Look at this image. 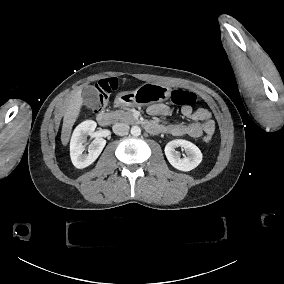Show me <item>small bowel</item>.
I'll use <instances>...</instances> for the list:
<instances>
[{"instance_id": "small-bowel-1", "label": "small bowel", "mask_w": 284, "mask_h": 284, "mask_svg": "<svg viewBox=\"0 0 284 284\" xmlns=\"http://www.w3.org/2000/svg\"><path fill=\"white\" fill-rule=\"evenodd\" d=\"M147 112L151 116H170L172 109L165 104H153L148 107ZM183 117L190 119L192 122L185 123H170L161 125L157 122H149L146 128L151 133L163 131L164 133L174 136L183 137L189 136L199 138L205 135H211L215 131V122L211 119V113L206 108L193 109L190 106H183L180 109Z\"/></svg>"}]
</instances>
